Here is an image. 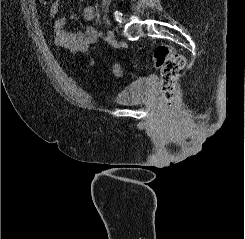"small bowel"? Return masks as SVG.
<instances>
[{
    "label": "small bowel",
    "mask_w": 245,
    "mask_h": 239,
    "mask_svg": "<svg viewBox=\"0 0 245 239\" xmlns=\"http://www.w3.org/2000/svg\"><path fill=\"white\" fill-rule=\"evenodd\" d=\"M60 0H54L50 5V15L54 19V40L57 46L72 53H87L97 40L96 30L87 26L84 31H70L66 25V19L59 16ZM84 20L91 21L94 18V9L90 5H84L81 10ZM94 62H91L93 65Z\"/></svg>",
    "instance_id": "c3829d8e"
}]
</instances>
